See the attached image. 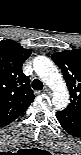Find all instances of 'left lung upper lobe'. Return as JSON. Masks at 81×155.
Segmentation results:
<instances>
[{"mask_svg":"<svg viewBox=\"0 0 81 155\" xmlns=\"http://www.w3.org/2000/svg\"><path fill=\"white\" fill-rule=\"evenodd\" d=\"M53 61L61 69L70 95L71 103L64 110L75 116H81V55L79 50H65L54 53Z\"/></svg>","mask_w":81,"mask_h":155,"instance_id":"5c2ea615","label":"left lung upper lobe"}]
</instances>
